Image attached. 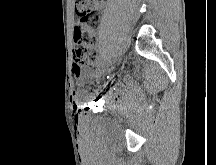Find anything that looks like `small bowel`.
Returning a JSON list of instances; mask_svg holds the SVG:
<instances>
[{"label":"small bowel","mask_w":216,"mask_h":165,"mask_svg":"<svg viewBox=\"0 0 216 165\" xmlns=\"http://www.w3.org/2000/svg\"><path fill=\"white\" fill-rule=\"evenodd\" d=\"M73 73L77 79H80L84 75L82 68L79 65H77L76 63L73 66Z\"/></svg>","instance_id":"c3829d8e"}]
</instances>
